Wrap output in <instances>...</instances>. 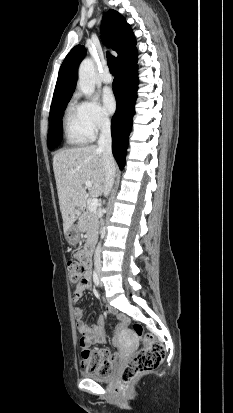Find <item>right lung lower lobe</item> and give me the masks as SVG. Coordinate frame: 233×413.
I'll return each instance as SVG.
<instances>
[{
  "instance_id": "98d812e1",
  "label": "right lung lower lobe",
  "mask_w": 233,
  "mask_h": 413,
  "mask_svg": "<svg viewBox=\"0 0 233 413\" xmlns=\"http://www.w3.org/2000/svg\"><path fill=\"white\" fill-rule=\"evenodd\" d=\"M138 82L137 51L135 49L117 63V77L113 81L117 110L111 121L112 151L121 169L125 164Z\"/></svg>"
}]
</instances>
